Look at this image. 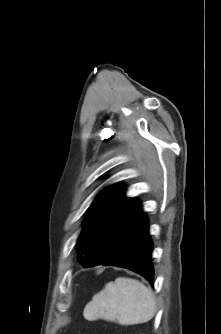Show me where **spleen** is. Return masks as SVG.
<instances>
[{
	"label": "spleen",
	"mask_w": 221,
	"mask_h": 334,
	"mask_svg": "<svg viewBox=\"0 0 221 334\" xmlns=\"http://www.w3.org/2000/svg\"><path fill=\"white\" fill-rule=\"evenodd\" d=\"M156 312V300L151 289L136 279L118 277L95 294L84 308L89 321L103 319L120 325L148 322Z\"/></svg>",
	"instance_id": "obj_1"
}]
</instances>
